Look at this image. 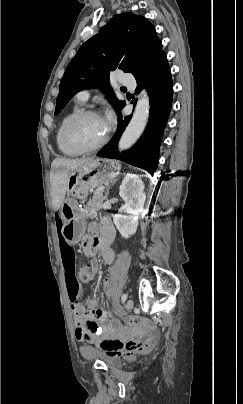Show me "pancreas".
Listing matches in <instances>:
<instances>
[{
  "instance_id": "pancreas-1",
  "label": "pancreas",
  "mask_w": 243,
  "mask_h": 404,
  "mask_svg": "<svg viewBox=\"0 0 243 404\" xmlns=\"http://www.w3.org/2000/svg\"><path fill=\"white\" fill-rule=\"evenodd\" d=\"M103 200V192L93 193L92 200H89V202H87L83 210V212L85 213V218H89V220H93V218H96L99 210H101Z\"/></svg>"
}]
</instances>
